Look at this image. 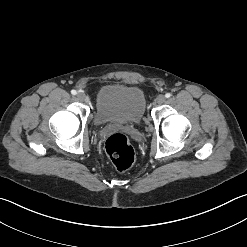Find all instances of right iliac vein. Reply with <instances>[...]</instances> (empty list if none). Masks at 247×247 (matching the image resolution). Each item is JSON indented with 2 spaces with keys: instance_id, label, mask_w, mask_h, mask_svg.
Here are the masks:
<instances>
[{
  "instance_id": "obj_1",
  "label": "right iliac vein",
  "mask_w": 247,
  "mask_h": 247,
  "mask_svg": "<svg viewBox=\"0 0 247 247\" xmlns=\"http://www.w3.org/2000/svg\"><path fill=\"white\" fill-rule=\"evenodd\" d=\"M77 99L79 100V101H86L87 100V96L83 93V92H78L77 93Z\"/></svg>"
}]
</instances>
